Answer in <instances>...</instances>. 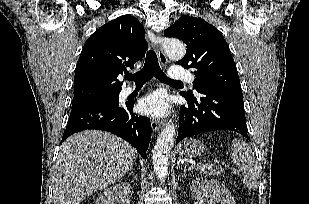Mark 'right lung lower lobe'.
<instances>
[{"instance_id": "right-lung-lower-lobe-1", "label": "right lung lower lobe", "mask_w": 309, "mask_h": 204, "mask_svg": "<svg viewBox=\"0 0 309 204\" xmlns=\"http://www.w3.org/2000/svg\"><path fill=\"white\" fill-rule=\"evenodd\" d=\"M92 104L71 110L62 141L70 135L87 129L108 131L128 141L143 159L151 138V123L147 117L133 113L134 103Z\"/></svg>"}]
</instances>
